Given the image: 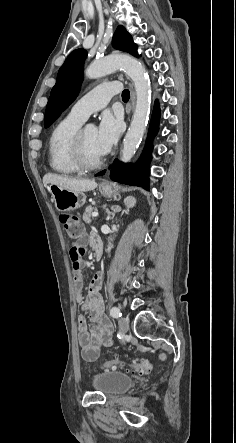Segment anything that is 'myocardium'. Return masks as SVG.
Segmentation results:
<instances>
[{
	"instance_id": "myocardium-1",
	"label": "myocardium",
	"mask_w": 236,
	"mask_h": 443,
	"mask_svg": "<svg viewBox=\"0 0 236 443\" xmlns=\"http://www.w3.org/2000/svg\"><path fill=\"white\" fill-rule=\"evenodd\" d=\"M85 128L86 126H81L74 134L70 145V153L75 166L80 171H92L99 168L102 165L104 161V155H101L94 160L87 159L84 151V142H83V135Z\"/></svg>"
}]
</instances>
